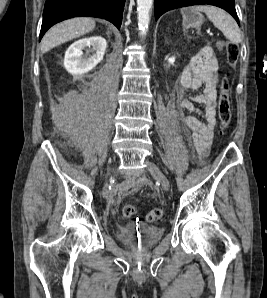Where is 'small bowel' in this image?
<instances>
[{
    "label": "small bowel",
    "mask_w": 267,
    "mask_h": 298,
    "mask_svg": "<svg viewBox=\"0 0 267 298\" xmlns=\"http://www.w3.org/2000/svg\"><path fill=\"white\" fill-rule=\"evenodd\" d=\"M218 69V60L212 49L204 47L188 62L181 76L182 88L198 90L203 87L202 93L180 103L182 111L191 113L182 115L181 122L184 133L192 139L199 159L207 155L216 125ZM196 104L203 105L204 110L198 109ZM142 184L143 181H138L134 188Z\"/></svg>",
    "instance_id": "obj_1"
}]
</instances>
